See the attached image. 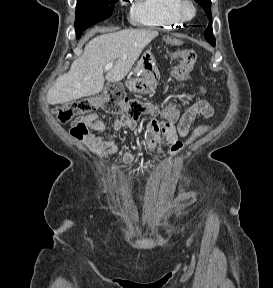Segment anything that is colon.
Here are the masks:
<instances>
[{"label": "colon", "mask_w": 273, "mask_h": 288, "mask_svg": "<svg viewBox=\"0 0 273 288\" xmlns=\"http://www.w3.org/2000/svg\"><path fill=\"white\" fill-rule=\"evenodd\" d=\"M176 55L180 63L174 70V76L178 80H185L190 75L196 63V52L192 49H182L178 51ZM100 104H103L107 111L114 114L127 113L129 115H135L140 110H149L151 113L161 115L171 121L176 120L178 117V112L174 107H143L139 103L124 99L121 93L115 89L109 90L102 99H78L56 108L53 113L55 118L61 123L74 121L71 134L77 139H80L85 136L89 130V123L83 121L82 118L97 109Z\"/></svg>", "instance_id": "5ec220e1"}]
</instances>
